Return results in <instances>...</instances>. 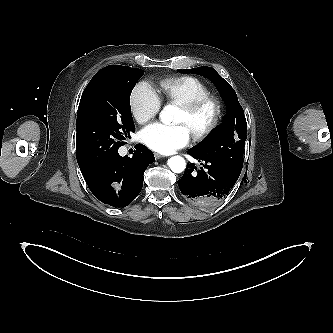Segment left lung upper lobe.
<instances>
[{
	"instance_id": "5c2ea615",
	"label": "left lung upper lobe",
	"mask_w": 333,
	"mask_h": 333,
	"mask_svg": "<svg viewBox=\"0 0 333 333\" xmlns=\"http://www.w3.org/2000/svg\"><path fill=\"white\" fill-rule=\"evenodd\" d=\"M199 74L211 79L221 92L228 107L223 126L200 146L194 148L203 157L225 166L236 175L243 167L247 123L237 95L230 84L211 67L177 70Z\"/></svg>"
}]
</instances>
